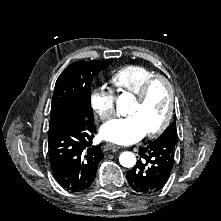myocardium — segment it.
<instances>
[{"instance_id":"f54148a6","label":"myocardium","mask_w":221,"mask_h":221,"mask_svg":"<svg viewBox=\"0 0 221 221\" xmlns=\"http://www.w3.org/2000/svg\"><path fill=\"white\" fill-rule=\"evenodd\" d=\"M158 83H163L167 88L168 100H169L168 109H167L166 116H165L164 120L162 121V123L156 129L145 134V136L148 138H155V137H158L159 135H161L169 126V124L172 120V117H173V113H174V105H175L174 88H173V85L170 82V80L162 75H156L154 77L149 78L144 83V85L142 86L140 91L135 95L134 101L138 105L143 104L146 101L152 88Z\"/></svg>"}]
</instances>
